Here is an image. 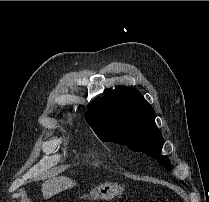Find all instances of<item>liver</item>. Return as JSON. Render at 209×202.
I'll return each instance as SVG.
<instances>
[{"mask_svg": "<svg viewBox=\"0 0 209 202\" xmlns=\"http://www.w3.org/2000/svg\"><path fill=\"white\" fill-rule=\"evenodd\" d=\"M75 182L67 177H53L42 184V194L45 199H49L54 195L70 189L75 186Z\"/></svg>", "mask_w": 209, "mask_h": 202, "instance_id": "6515ba94", "label": "liver"}]
</instances>
